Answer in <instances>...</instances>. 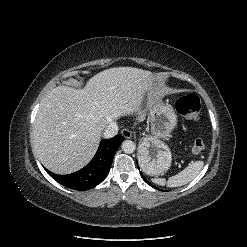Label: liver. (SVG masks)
<instances>
[{"label":"liver","mask_w":247,"mask_h":247,"mask_svg":"<svg viewBox=\"0 0 247 247\" xmlns=\"http://www.w3.org/2000/svg\"><path fill=\"white\" fill-rule=\"evenodd\" d=\"M153 90L150 72L133 67L101 71L82 89L57 86L41 101L34 123L39 160L56 174L81 169L94 156L107 124L127 114L144 118L143 100Z\"/></svg>","instance_id":"liver-1"}]
</instances>
